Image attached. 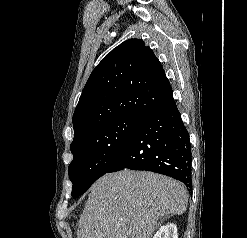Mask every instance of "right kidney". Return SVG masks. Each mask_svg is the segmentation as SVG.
I'll return each instance as SVG.
<instances>
[{"label": "right kidney", "mask_w": 247, "mask_h": 238, "mask_svg": "<svg viewBox=\"0 0 247 238\" xmlns=\"http://www.w3.org/2000/svg\"><path fill=\"white\" fill-rule=\"evenodd\" d=\"M153 238H178L176 225L170 223L160 227Z\"/></svg>", "instance_id": "obj_1"}]
</instances>
